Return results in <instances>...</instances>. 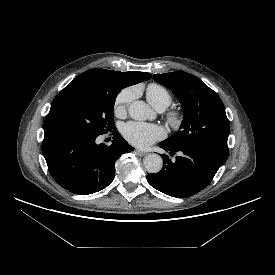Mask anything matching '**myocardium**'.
Segmentation results:
<instances>
[{"label":"myocardium","instance_id":"myocardium-1","mask_svg":"<svg viewBox=\"0 0 275 275\" xmlns=\"http://www.w3.org/2000/svg\"><path fill=\"white\" fill-rule=\"evenodd\" d=\"M167 120L173 127H177L181 124L183 120V114L180 110H170L167 113Z\"/></svg>","mask_w":275,"mask_h":275}]
</instances>
